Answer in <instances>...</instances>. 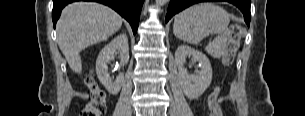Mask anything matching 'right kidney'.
<instances>
[{
	"label": "right kidney",
	"mask_w": 305,
	"mask_h": 116,
	"mask_svg": "<svg viewBox=\"0 0 305 116\" xmlns=\"http://www.w3.org/2000/svg\"><path fill=\"white\" fill-rule=\"evenodd\" d=\"M120 53L121 65H126L129 61V46L126 34L116 36L108 45H106L98 55L96 61V73L100 82L105 86L110 94H117L123 84L124 75L119 74L115 80L112 81L108 74L107 64L114 59L116 52Z\"/></svg>",
	"instance_id": "ca27d5eb"
}]
</instances>
